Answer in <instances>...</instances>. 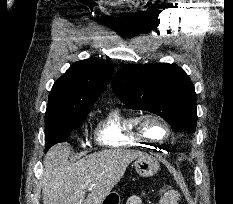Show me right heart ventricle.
Listing matches in <instances>:
<instances>
[{
  "label": "right heart ventricle",
  "mask_w": 233,
  "mask_h": 204,
  "mask_svg": "<svg viewBox=\"0 0 233 204\" xmlns=\"http://www.w3.org/2000/svg\"><path fill=\"white\" fill-rule=\"evenodd\" d=\"M137 117L121 107H112L96 124L97 143L110 148L149 146V142L135 132Z\"/></svg>",
  "instance_id": "e07e8e85"
}]
</instances>
